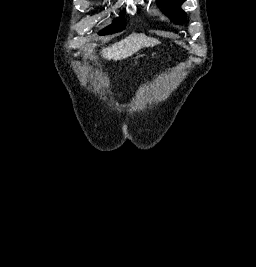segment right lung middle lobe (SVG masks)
<instances>
[{
	"label": "right lung middle lobe",
	"instance_id": "1",
	"mask_svg": "<svg viewBox=\"0 0 256 267\" xmlns=\"http://www.w3.org/2000/svg\"><path fill=\"white\" fill-rule=\"evenodd\" d=\"M125 27H126L125 18L118 17V18L114 19L113 23L110 26L103 29L99 33V35H106V34L116 32V31H122Z\"/></svg>",
	"mask_w": 256,
	"mask_h": 267
}]
</instances>
